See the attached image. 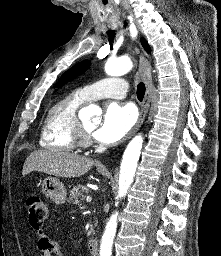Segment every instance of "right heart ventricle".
I'll use <instances>...</instances> for the list:
<instances>
[{
  "mask_svg": "<svg viewBox=\"0 0 221 256\" xmlns=\"http://www.w3.org/2000/svg\"><path fill=\"white\" fill-rule=\"evenodd\" d=\"M87 101L80 91H75L52 105L41 128L40 145L54 151H74L79 143L77 112Z\"/></svg>",
  "mask_w": 221,
  "mask_h": 256,
  "instance_id": "1",
  "label": "right heart ventricle"
}]
</instances>
